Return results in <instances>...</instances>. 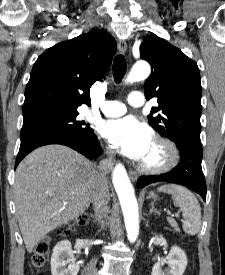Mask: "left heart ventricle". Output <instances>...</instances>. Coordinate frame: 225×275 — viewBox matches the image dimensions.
Returning <instances> with one entry per match:
<instances>
[{
  "instance_id": "1",
  "label": "left heart ventricle",
  "mask_w": 225,
  "mask_h": 275,
  "mask_svg": "<svg viewBox=\"0 0 225 275\" xmlns=\"http://www.w3.org/2000/svg\"><path fill=\"white\" fill-rule=\"evenodd\" d=\"M162 159H163L162 148L153 142L148 152L146 153L144 158L141 160V162L149 165H155V164H159L162 161Z\"/></svg>"
}]
</instances>
